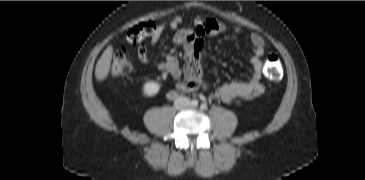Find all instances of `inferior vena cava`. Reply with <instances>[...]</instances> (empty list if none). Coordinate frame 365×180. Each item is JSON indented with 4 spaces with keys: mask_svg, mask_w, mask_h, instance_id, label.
Returning a JSON list of instances; mask_svg holds the SVG:
<instances>
[{
    "mask_svg": "<svg viewBox=\"0 0 365 180\" xmlns=\"http://www.w3.org/2000/svg\"><path fill=\"white\" fill-rule=\"evenodd\" d=\"M180 99H177L176 102H179Z\"/></svg>",
    "mask_w": 365,
    "mask_h": 180,
    "instance_id": "obj_1",
    "label": "inferior vena cava"
}]
</instances>
